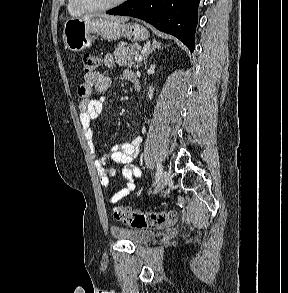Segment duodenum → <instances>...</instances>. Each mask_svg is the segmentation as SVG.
<instances>
[{
	"label": "duodenum",
	"instance_id": "duodenum-1",
	"mask_svg": "<svg viewBox=\"0 0 288 293\" xmlns=\"http://www.w3.org/2000/svg\"><path fill=\"white\" fill-rule=\"evenodd\" d=\"M132 83H133V85H134L135 90H136V91H139V90H140V82H139V80H138L137 78H134V79L132 80Z\"/></svg>",
	"mask_w": 288,
	"mask_h": 293
}]
</instances>
